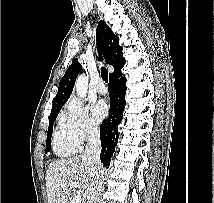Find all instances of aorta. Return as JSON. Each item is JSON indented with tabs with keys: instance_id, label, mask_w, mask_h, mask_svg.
Returning a JSON list of instances; mask_svg holds the SVG:
<instances>
[{
	"instance_id": "762f6f07",
	"label": "aorta",
	"mask_w": 214,
	"mask_h": 203,
	"mask_svg": "<svg viewBox=\"0 0 214 203\" xmlns=\"http://www.w3.org/2000/svg\"><path fill=\"white\" fill-rule=\"evenodd\" d=\"M75 88L78 95L82 98H85L88 91V77H86L84 74H80L77 77Z\"/></svg>"
}]
</instances>
